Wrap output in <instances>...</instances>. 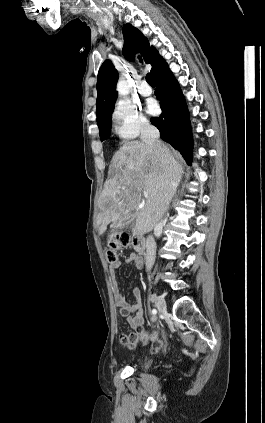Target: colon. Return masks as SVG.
<instances>
[{"label":"colon","instance_id":"colon-1","mask_svg":"<svg viewBox=\"0 0 265 423\" xmlns=\"http://www.w3.org/2000/svg\"><path fill=\"white\" fill-rule=\"evenodd\" d=\"M130 243V236L124 231H114L110 233L108 238V247L106 249V259L109 263L118 261L117 251L127 247Z\"/></svg>","mask_w":265,"mask_h":423}]
</instances>
